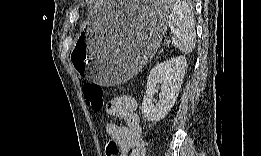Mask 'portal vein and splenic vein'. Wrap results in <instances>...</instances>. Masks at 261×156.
I'll use <instances>...</instances> for the list:
<instances>
[{
	"label": "portal vein and splenic vein",
	"mask_w": 261,
	"mask_h": 156,
	"mask_svg": "<svg viewBox=\"0 0 261 156\" xmlns=\"http://www.w3.org/2000/svg\"><path fill=\"white\" fill-rule=\"evenodd\" d=\"M166 43L169 44V43H170V40H166Z\"/></svg>",
	"instance_id": "1"
}]
</instances>
